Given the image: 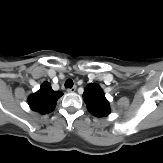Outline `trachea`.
Wrapping results in <instances>:
<instances>
[{"instance_id": "trachea-1", "label": "trachea", "mask_w": 163, "mask_h": 163, "mask_svg": "<svg viewBox=\"0 0 163 163\" xmlns=\"http://www.w3.org/2000/svg\"><path fill=\"white\" fill-rule=\"evenodd\" d=\"M65 87L66 88H72L73 87V81L71 79L66 80Z\"/></svg>"}]
</instances>
